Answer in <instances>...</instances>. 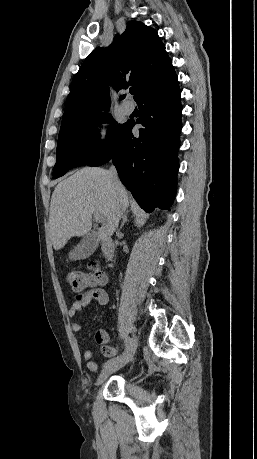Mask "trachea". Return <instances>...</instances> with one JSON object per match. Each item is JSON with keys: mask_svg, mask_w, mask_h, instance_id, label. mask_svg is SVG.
<instances>
[{"mask_svg": "<svg viewBox=\"0 0 257 459\" xmlns=\"http://www.w3.org/2000/svg\"><path fill=\"white\" fill-rule=\"evenodd\" d=\"M129 92L133 95L135 93L134 89H130Z\"/></svg>", "mask_w": 257, "mask_h": 459, "instance_id": "3493384b", "label": "trachea"}]
</instances>
